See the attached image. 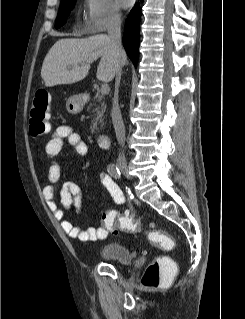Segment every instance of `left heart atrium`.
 Here are the masks:
<instances>
[{
  "label": "left heart atrium",
  "mask_w": 245,
  "mask_h": 319,
  "mask_svg": "<svg viewBox=\"0 0 245 319\" xmlns=\"http://www.w3.org/2000/svg\"><path fill=\"white\" fill-rule=\"evenodd\" d=\"M133 0H118L121 7L127 8L132 4Z\"/></svg>",
  "instance_id": "1"
}]
</instances>
